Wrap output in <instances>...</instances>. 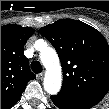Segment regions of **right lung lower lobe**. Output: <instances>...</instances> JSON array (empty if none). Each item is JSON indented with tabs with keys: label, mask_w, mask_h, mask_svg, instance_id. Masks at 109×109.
Wrapping results in <instances>:
<instances>
[{
	"label": "right lung lower lobe",
	"mask_w": 109,
	"mask_h": 109,
	"mask_svg": "<svg viewBox=\"0 0 109 109\" xmlns=\"http://www.w3.org/2000/svg\"><path fill=\"white\" fill-rule=\"evenodd\" d=\"M21 97V95H19L15 100H13L5 109H9L11 108Z\"/></svg>",
	"instance_id": "98d812e1"
}]
</instances>
